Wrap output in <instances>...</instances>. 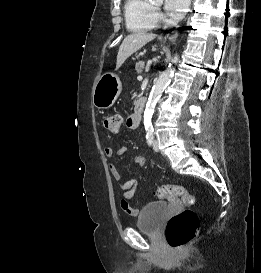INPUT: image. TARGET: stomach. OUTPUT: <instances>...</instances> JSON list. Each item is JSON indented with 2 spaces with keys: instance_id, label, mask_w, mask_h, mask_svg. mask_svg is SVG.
Returning a JSON list of instances; mask_svg holds the SVG:
<instances>
[{
  "instance_id": "obj_1",
  "label": "stomach",
  "mask_w": 261,
  "mask_h": 273,
  "mask_svg": "<svg viewBox=\"0 0 261 273\" xmlns=\"http://www.w3.org/2000/svg\"><path fill=\"white\" fill-rule=\"evenodd\" d=\"M122 91V84L117 75L106 72L96 82L93 88L92 100L98 109L111 107Z\"/></svg>"
}]
</instances>
